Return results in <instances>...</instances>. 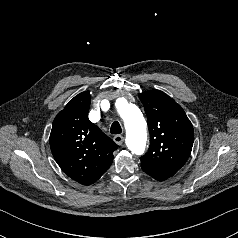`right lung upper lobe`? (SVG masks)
I'll return each mask as SVG.
<instances>
[{"instance_id":"1","label":"right lung upper lobe","mask_w":238,"mask_h":238,"mask_svg":"<svg viewBox=\"0 0 238 238\" xmlns=\"http://www.w3.org/2000/svg\"><path fill=\"white\" fill-rule=\"evenodd\" d=\"M90 92L75 96L54 119L52 154L63 172L83 185L96 182L110 167L118 145L88 119Z\"/></svg>"}]
</instances>
